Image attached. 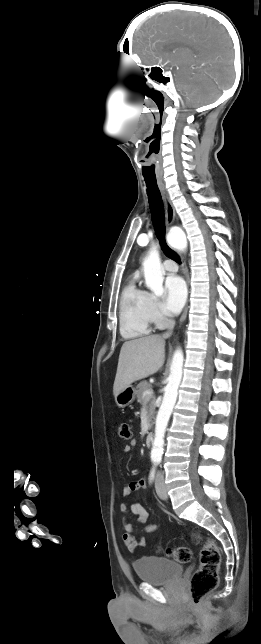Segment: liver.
<instances>
[{
  "mask_svg": "<svg viewBox=\"0 0 261 644\" xmlns=\"http://www.w3.org/2000/svg\"><path fill=\"white\" fill-rule=\"evenodd\" d=\"M165 359V339L159 335L126 341L120 350L113 385L114 396L133 382L161 370Z\"/></svg>",
  "mask_w": 261,
  "mask_h": 644,
  "instance_id": "liver-1",
  "label": "liver"
}]
</instances>
